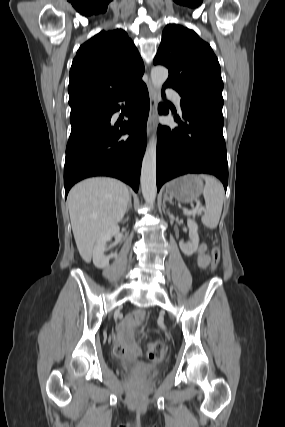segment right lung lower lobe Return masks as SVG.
<instances>
[{
    "mask_svg": "<svg viewBox=\"0 0 285 427\" xmlns=\"http://www.w3.org/2000/svg\"><path fill=\"white\" fill-rule=\"evenodd\" d=\"M129 102L128 121L112 125L118 102ZM149 95L140 81L99 108L87 109L71 119V134L64 166L65 197L78 181L92 176H111L139 187L146 148ZM120 126V127H119ZM129 134L128 138H122Z\"/></svg>",
    "mask_w": 285,
    "mask_h": 427,
    "instance_id": "98d812e1",
    "label": "right lung lower lobe"
}]
</instances>
